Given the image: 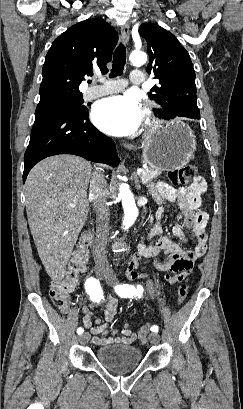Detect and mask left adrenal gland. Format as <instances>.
<instances>
[{"label":"left adrenal gland","mask_w":243,"mask_h":409,"mask_svg":"<svg viewBox=\"0 0 243 409\" xmlns=\"http://www.w3.org/2000/svg\"><path fill=\"white\" fill-rule=\"evenodd\" d=\"M134 181H135V185H136V188L139 190L140 189V182H139V178L135 175L134 176Z\"/></svg>","instance_id":"1"}]
</instances>
